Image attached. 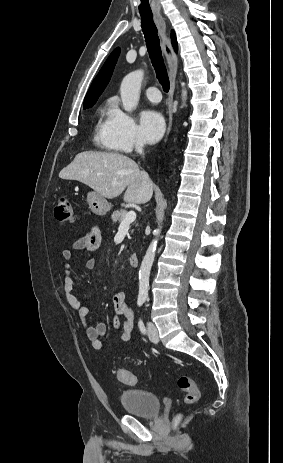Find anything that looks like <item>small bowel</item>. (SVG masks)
Listing matches in <instances>:
<instances>
[{
    "instance_id": "small-bowel-1",
    "label": "small bowel",
    "mask_w": 283,
    "mask_h": 463,
    "mask_svg": "<svg viewBox=\"0 0 283 463\" xmlns=\"http://www.w3.org/2000/svg\"><path fill=\"white\" fill-rule=\"evenodd\" d=\"M101 242V231L97 226H94L91 227L84 236L75 240L69 248L63 250V258L67 262L63 273L64 296L70 308L76 313L87 339L95 350L104 348L103 339L107 328L103 322H97L93 325L88 322V309L81 304L74 293V276L70 269L69 262L72 260L75 252L97 251L101 246ZM85 265L88 269H92L96 265V260L94 258H88ZM112 304L115 311L113 324L116 328L121 330L120 340L122 342H129L134 336V312L126 301L125 293H115L112 297Z\"/></svg>"
}]
</instances>
